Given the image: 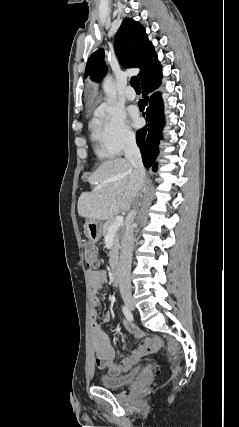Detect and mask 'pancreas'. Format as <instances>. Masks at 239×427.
I'll return each mask as SVG.
<instances>
[{"label":"pancreas","mask_w":239,"mask_h":427,"mask_svg":"<svg viewBox=\"0 0 239 427\" xmlns=\"http://www.w3.org/2000/svg\"><path fill=\"white\" fill-rule=\"evenodd\" d=\"M115 222V219L114 218H112V219H109V220H107L105 223H104V225H103V234L104 235H106L107 234V232L109 231V229H110V226L113 224ZM123 228L122 227H120V228H118L117 229V231L115 232V235H114V240H113V245H112V248H111V250H110V252H109V256H110V260H109V263H110V265L111 266H113L114 264H115V262H116V260H117V258H118V253H119V248H120V243H119V240H120V238H121V236H122V234H123Z\"/></svg>","instance_id":"1"}]
</instances>
